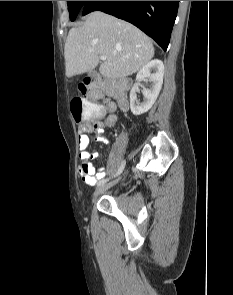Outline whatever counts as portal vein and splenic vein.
<instances>
[{
	"instance_id": "18ae733b",
	"label": "portal vein and splenic vein",
	"mask_w": 233,
	"mask_h": 295,
	"mask_svg": "<svg viewBox=\"0 0 233 295\" xmlns=\"http://www.w3.org/2000/svg\"><path fill=\"white\" fill-rule=\"evenodd\" d=\"M100 59L103 60V61H105L107 59V57L105 55H101L100 56Z\"/></svg>"
}]
</instances>
